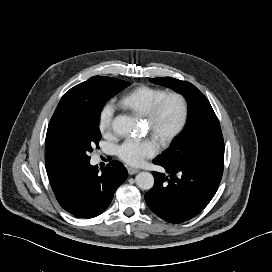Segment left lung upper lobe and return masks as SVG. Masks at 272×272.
I'll return each mask as SVG.
<instances>
[{"mask_svg":"<svg viewBox=\"0 0 272 272\" xmlns=\"http://www.w3.org/2000/svg\"><path fill=\"white\" fill-rule=\"evenodd\" d=\"M181 93L187 100L188 122L183 133L161 156L165 163L224 160V141L218 118L209 101L193 84L171 77L152 78Z\"/></svg>","mask_w":272,"mask_h":272,"instance_id":"left-lung-upper-lobe-1","label":"left lung upper lobe"}]
</instances>
